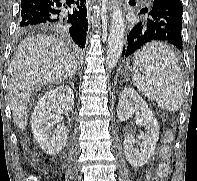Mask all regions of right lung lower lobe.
<instances>
[{
	"label": "right lung lower lobe",
	"mask_w": 197,
	"mask_h": 181,
	"mask_svg": "<svg viewBox=\"0 0 197 181\" xmlns=\"http://www.w3.org/2000/svg\"><path fill=\"white\" fill-rule=\"evenodd\" d=\"M86 0H21L19 26L53 29L84 47L88 29Z\"/></svg>",
	"instance_id": "right-lung-lower-lobe-1"
}]
</instances>
